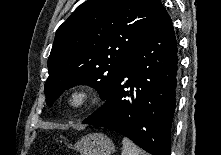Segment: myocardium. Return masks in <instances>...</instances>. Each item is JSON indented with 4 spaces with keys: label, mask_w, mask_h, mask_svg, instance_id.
Returning a JSON list of instances; mask_svg holds the SVG:
<instances>
[{
    "label": "myocardium",
    "mask_w": 221,
    "mask_h": 155,
    "mask_svg": "<svg viewBox=\"0 0 221 155\" xmlns=\"http://www.w3.org/2000/svg\"><path fill=\"white\" fill-rule=\"evenodd\" d=\"M95 99V91L89 85H77L64 95L63 102L67 109L78 111L88 106Z\"/></svg>",
    "instance_id": "obj_1"
}]
</instances>
